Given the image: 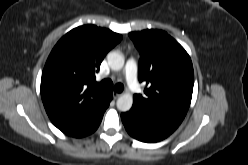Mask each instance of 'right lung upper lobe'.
I'll return each mask as SVG.
<instances>
[{
    "label": "right lung upper lobe",
    "instance_id": "cb5924a9",
    "mask_svg": "<svg viewBox=\"0 0 248 165\" xmlns=\"http://www.w3.org/2000/svg\"><path fill=\"white\" fill-rule=\"evenodd\" d=\"M121 39L111 30L84 25L64 35L51 51L42 72L41 97L62 132L89 121L109 100L111 91L97 84L95 73Z\"/></svg>",
    "mask_w": 248,
    "mask_h": 165
}]
</instances>
